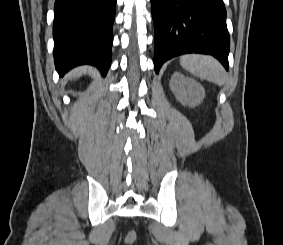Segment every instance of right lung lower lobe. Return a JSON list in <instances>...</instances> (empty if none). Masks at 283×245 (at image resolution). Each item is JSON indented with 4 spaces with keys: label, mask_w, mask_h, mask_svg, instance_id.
<instances>
[{
    "label": "right lung lower lobe",
    "mask_w": 283,
    "mask_h": 245,
    "mask_svg": "<svg viewBox=\"0 0 283 245\" xmlns=\"http://www.w3.org/2000/svg\"><path fill=\"white\" fill-rule=\"evenodd\" d=\"M116 0H56L53 25L54 61L63 76L90 64L105 76L111 64Z\"/></svg>",
    "instance_id": "98d812e1"
}]
</instances>
